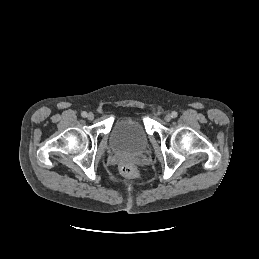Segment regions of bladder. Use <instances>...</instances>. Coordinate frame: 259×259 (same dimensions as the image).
I'll list each match as a JSON object with an SVG mask.
<instances>
[{
  "label": "bladder",
  "instance_id": "1",
  "mask_svg": "<svg viewBox=\"0 0 259 259\" xmlns=\"http://www.w3.org/2000/svg\"><path fill=\"white\" fill-rule=\"evenodd\" d=\"M110 145L117 152L140 153L148 146V134L141 118H119L110 134Z\"/></svg>",
  "mask_w": 259,
  "mask_h": 259
}]
</instances>
